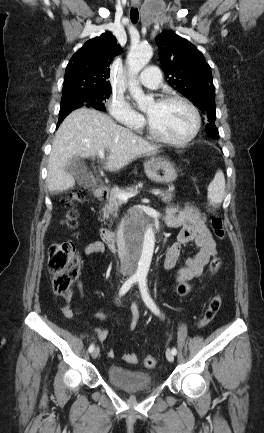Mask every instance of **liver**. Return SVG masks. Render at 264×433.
Here are the masks:
<instances>
[{
	"mask_svg": "<svg viewBox=\"0 0 264 433\" xmlns=\"http://www.w3.org/2000/svg\"><path fill=\"white\" fill-rule=\"evenodd\" d=\"M109 150L104 168L118 170L142 155H154L159 146L116 124L108 115L80 108L70 113L58 128L48 162L47 186L50 192H62L75 186V178L66 171L75 156L94 157Z\"/></svg>",
	"mask_w": 264,
	"mask_h": 433,
	"instance_id": "obj_1",
	"label": "liver"
}]
</instances>
